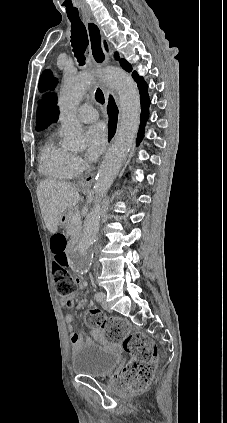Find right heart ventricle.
I'll use <instances>...</instances> for the list:
<instances>
[{
    "label": "right heart ventricle",
    "mask_w": 227,
    "mask_h": 423,
    "mask_svg": "<svg viewBox=\"0 0 227 423\" xmlns=\"http://www.w3.org/2000/svg\"><path fill=\"white\" fill-rule=\"evenodd\" d=\"M70 152L55 143L53 137H49L40 150L39 172L41 175L53 179H67L68 160Z\"/></svg>",
    "instance_id": "1"
}]
</instances>
